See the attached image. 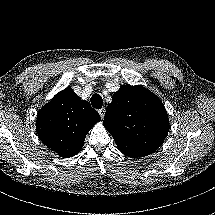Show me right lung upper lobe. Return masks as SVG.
<instances>
[{
	"label": "right lung upper lobe",
	"mask_w": 215,
	"mask_h": 215,
	"mask_svg": "<svg viewBox=\"0 0 215 215\" xmlns=\"http://www.w3.org/2000/svg\"><path fill=\"white\" fill-rule=\"evenodd\" d=\"M100 120L97 111L67 87L41 108L36 130L48 148L69 158L82 149L85 136Z\"/></svg>",
	"instance_id": "cb5924a9"
}]
</instances>
